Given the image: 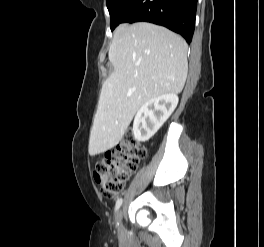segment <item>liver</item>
Returning <instances> with one entry per match:
<instances>
[{
	"mask_svg": "<svg viewBox=\"0 0 264 247\" xmlns=\"http://www.w3.org/2000/svg\"><path fill=\"white\" fill-rule=\"evenodd\" d=\"M187 49L182 37L151 23L121 24L115 29L108 54L114 71L102 86L90 133V155L116 146L147 101L182 91Z\"/></svg>",
	"mask_w": 264,
	"mask_h": 247,
	"instance_id": "liver-1",
	"label": "liver"
}]
</instances>
